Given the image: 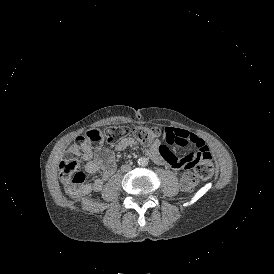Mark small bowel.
<instances>
[{
	"instance_id": "1",
	"label": "small bowel",
	"mask_w": 274,
	"mask_h": 274,
	"mask_svg": "<svg viewBox=\"0 0 274 274\" xmlns=\"http://www.w3.org/2000/svg\"><path fill=\"white\" fill-rule=\"evenodd\" d=\"M164 144L160 146L159 141H155L145 149L148 156L158 165H170L173 168H190L195 165L196 175L201 179H209L213 175L214 157L207 150L208 147L203 139L187 130L175 129L167 126L164 129ZM131 137L121 138L117 144V150L126 149L134 145ZM191 144L197 146L200 153L192 155L178 154L175 150L179 146ZM160 146V147H159ZM80 150L83 154L85 170L93 174L99 170L102 171V177L96 178L90 184H84L80 195L85 196L90 192H99L104 186L105 181L115 171V160L113 154L101 146H93L90 142L84 141L80 144ZM163 157H168V163Z\"/></svg>"
}]
</instances>
